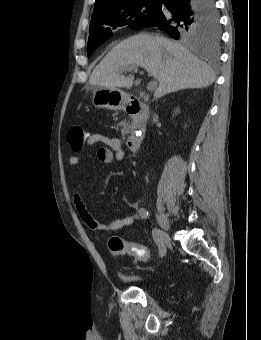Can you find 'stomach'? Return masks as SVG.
I'll list each match as a JSON object with an SVG mask.
<instances>
[{"instance_id":"0dacf381","label":"stomach","mask_w":261,"mask_h":340,"mask_svg":"<svg viewBox=\"0 0 261 340\" xmlns=\"http://www.w3.org/2000/svg\"><path fill=\"white\" fill-rule=\"evenodd\" d=\"M92 105L96 108L119 110L125 106L128 95L119 88L93 87L91 88Z\"/></svg>"}]
</instances>
